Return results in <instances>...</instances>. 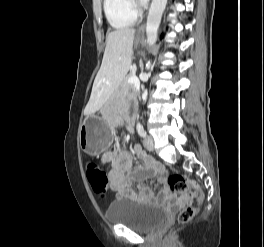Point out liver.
I'll return each instance as SVG.
<instances>
[{
	"instance_id": "6515ba94",
	"label": "liver",
	"mask_w": 264,
	"mask_h": 247,
	"mask_svg": "<svg viewBox=\"0 0 264 247\" xmlns=\"http://www.w3.org/2000/svg\"><path fill=\"white\" fill-rule=\"evenodd\" d=\"M135 29L125 28L110 32L101 68L95 78L85 114L98 111L123 81L131 65Z\"/></svg>"
}]
</instances>
